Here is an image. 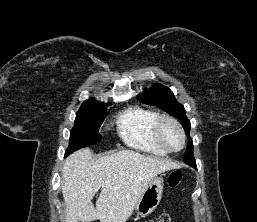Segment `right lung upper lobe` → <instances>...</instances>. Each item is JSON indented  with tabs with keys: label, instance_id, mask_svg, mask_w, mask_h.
Listing matches in <instances>:
<instances>
[{
	"label": "right lung upper lobe",
	"instance_id": "right-lung-upper-lobe-1",
	"mask_svg": "<svg viewBox=\"0 0 257 222\" xmlns=\"http://www.w3.org/2000/svg\"><path fill=\"white\" fill-rule=\"evenodd\" d=\"M94 102H95V100L93 98H91L90 100L85 101L82 105H85V104H95ZM100 105H103V104H100Z\"/></svg>",
	"mask_w": 257,
	"mask_h": 222
}]
</instances>
